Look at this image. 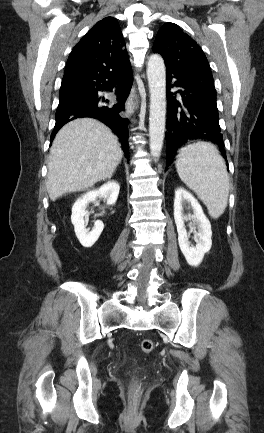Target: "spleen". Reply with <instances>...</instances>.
Wrapping results in <instances>:
<instances>
[{
	"mask_svg": "<svg viewBox=\"0 0 264 433\" xmlns=\"http://www.w3.org/2000/svg\"><path fill=\"white\" fill-rule=\"evenodd\" d=\"M180 179L203 201L214 219L225 211L229 196V176L217 148L196 142L180 149L176 160Z\"/></svg>",
	"mask_w": 264,
	"mask_h": 433,
	"instance_id": "obj_1",
	"label": "spleen"
}]
</instances>
